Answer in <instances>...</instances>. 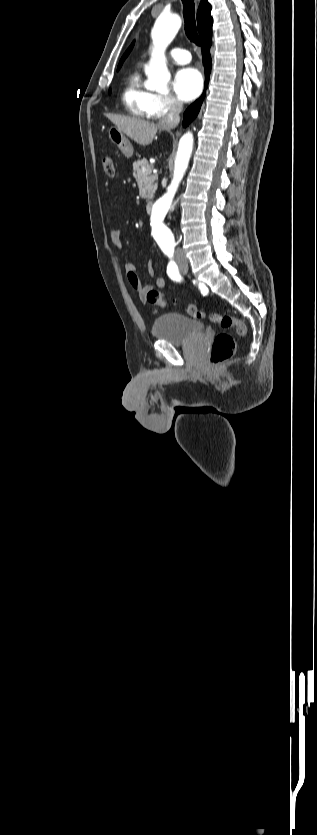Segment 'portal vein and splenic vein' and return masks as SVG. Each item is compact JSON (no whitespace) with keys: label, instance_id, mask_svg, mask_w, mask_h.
Masks as SVG:
<instances>
[{"label":"portal vein and splenic vein","instance_id":"portal-vein-and-splenic-vein-1","mask_svg":"<svg viewBox=\"0 0 317 835\" xmlns=\"http://www.w3.org/2000/svg\"><path fill=\"white\" fill-rule=\"evenodd\" d=\"M142 171H143V172H147V171H148V169H147V168H145V167H143V168H142Z\"/></svg>","mask_w":317,"mask_h":835}]
</instances>
